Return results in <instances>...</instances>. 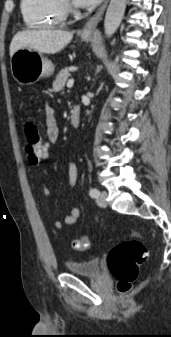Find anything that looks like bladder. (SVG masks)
<instances>
[{"instance_id":"obj_1","label":"bladder","mask_w":171,"mask_h":337,"mask_svg":"<svg viewBox=\"0 0 171 337\" xmlns=\"http://www.w3.org/2000/svg\"><path fill=\"white\" fill-rule=\"evenodd\" d=\"M66 269L69 273L74 275L96 278L101 274V262L99 259L68 261L66 263Z\"/></svg>"}]
</instances>
